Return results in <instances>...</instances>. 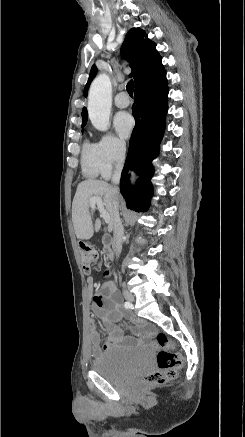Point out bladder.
Instances as JSON below:
<instances>
[{
  "label": "bladder",
  "instance_id": "1",
  "mask_svg": "<svg viewBox=\"0 0 245 437\" xmlns=\"http://www.w3.org/2000/svg\"><path fill=\"white\" fill-rule=\"evenodd\" d=\"M152 360L153 354L149 348L133 350L114 348L95 358L91 367L109 382L123 385L148 370Z\"/></svg>",
  "mask_w": 245,
  "mask_h": 437
}]
</instances>
